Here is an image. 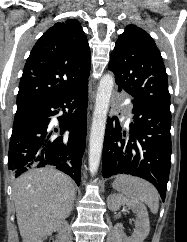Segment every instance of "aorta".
<instances>
[{
  "instance_id": "obj_1",
  "label": "aorta",
  "mask_w": 187,
  "mask_h": 242,
  "mask_svg": "<svg viewBox=\"0 0 187 242\" xmlns=\"http://www.w3.org/2000/svg\"><path fill=\"white\" fill-rule=\"evenodd\" d=\"M113 87L114 77L111 74H105L99 82L90 132L89 171L91 175H95L100 164L109 101Z\"/></svg>"
}]
</instances>
